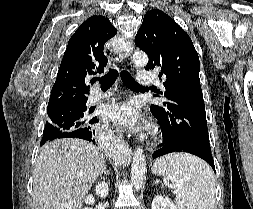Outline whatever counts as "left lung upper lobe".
<instances>
[{"label": "left lung upper lobe", "mask_w": 253, "mask_h": 209, "mask_svg": "<svg viewBox=\"0 0 253 209\" xmlns=\"http://www.w3.org/2000/svg\"><path fill=\"white\" fill-rule=\"evenodd\" d=\"M135 45L146 52V70L160 69L164 98L150 111L161 125L163 140L211 151L199 78V57L189 35L167 14L154 9L144 16Z\"/></svg>", "instance_id": "left-lung-upper-lobe-1"}]
</instances>
